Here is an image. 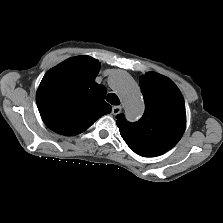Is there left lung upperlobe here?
Here are the masks:
<instances>
[{"label":"left lung upper lobe","instance_id":"5c2ea615","mask_svg":"<svg viewBox=\"0 0 223 223\" xmlns=\"http://www.w3.org/2000/svg\"><path fill=\"white\" fill-rule=\"evenodd\" d=\"M145 112L134 123L117 115L120 134L127 145L144 157L159 156L181 139L186 126L184 98L167 77L149 72L139 80Z\"/></svg>","mask_w":223,"mask_h":223}]
</instances>
